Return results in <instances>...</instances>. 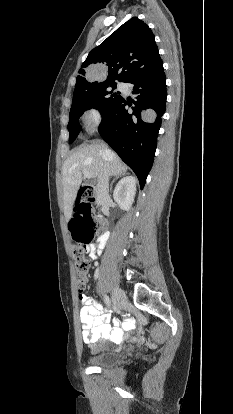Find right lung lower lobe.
<instances>
[{"instance_id":"right-lung-lower-lobe-1","label":"right lung lower lobe","mask_w":233,"mask_h":414,"mask_svg":"<svg viewBox=\"0 0 233 414\" xmlns=\"http://www.w3.org/2000/svg\"><path fill=\"white\" fill-rule=\"evenodd\" d=\"M136 94L134 106L120 98L102 114L98 128L102 138L121 159L135 172L141 188L152 167L161 126V117L166 107V77L163 68L156 73L133 78Z\"/></svg>"}]
</instances>
